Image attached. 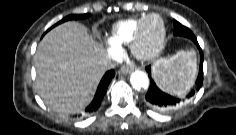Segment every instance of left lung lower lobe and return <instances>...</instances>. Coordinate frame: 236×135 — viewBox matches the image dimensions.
I'll return each instance as SVG.
<instances>
[{
	"label": "left lung lower lobe",
	"instance_id": "left-lung-lower-lobe-1",
	"mask_svg": "<svg viewBox=\"0 0 236 135\" xmlns=\"http://www.w3.org/2000/svg\"><path fill=\"white\" fill-rule=\"evenodd\" d=\"M174 22V35L182 36L191 39L199 48L200 51V67H199V74L196 80V83L191 89V91L186 95L185 98H176L172 97L164 92H162L155 84V82L151 79L150 86L148 89V92L145 96L146 101L149 106L160 110V111H167L174 107H176L181 101H184V99H188L192 97L196 90H199L203 83V53L202 50L197 42V39L195 35L192 33L190 29L183 26L181 23H179L176 20H173ZM146 71L149 73V77L151 74V67H147Z\"/></svg>",
	"mask_w": 236,
	"mask_h": 135
}]
</instances>
